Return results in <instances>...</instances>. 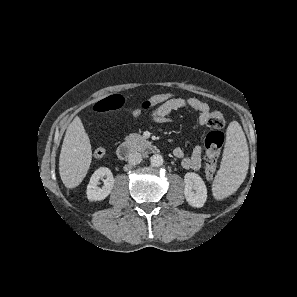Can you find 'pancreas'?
<instances>
[{"mask_svg": "<svg viewBox=\"0 0 297 297\" xmlns=\"http://www.w3.org/2000/svg\"><path fill=\"white\" fill-rule=\"evenodd\" d=\"M125 142L132 148H140L145 139L139 134L132 133L126 136Z\"/></svg>", "mask_w": 297, "mask_h": 297, "instance_id": "cf45deb5", "label": "pancreas"}]
</instances>
